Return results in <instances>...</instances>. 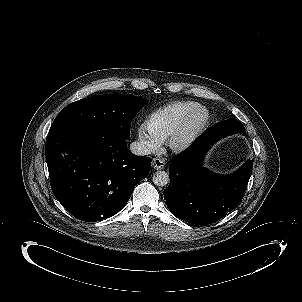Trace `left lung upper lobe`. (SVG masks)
<instances>
[{
    "label": "left lung upper lobe",
    "instance_id": "5c2ea615",
    "mask_svg": "<svg viewBox=\"0 0 302 302\" xmlns=\"http://www.w3.org/2000/svg\"><path fill=\"white\" fill-rule=\"evenodd\" d=\"M214 134L219 137L229 135L231 133H242L246 135L245 127L236 119H228L211 127Z\"/></svg>",
    "mask_w": 302,
    "mask_h": 302
}]
</instances>
